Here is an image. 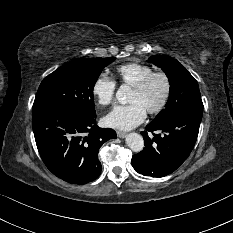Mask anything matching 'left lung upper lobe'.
I'll return each instance as SVG.
<instances>
[{"instance_id":"left-lung-upper-lobe-1","label":"left lung upper lobe","mask_w":233,"mask_h":233,"mask_svg":"<svg viewBox=\"0 0 233 233\" xmlns=\"http://www.w3.org/2000/svg\"><path fill=\"white\" fill-rule=\"evenodd\" d=\"M149 61L165 72L170 83L168 102L150 124H162L188 107L202 104L197 81L181 63L163 55H153Z\"/></svg>"}]
</instances>
